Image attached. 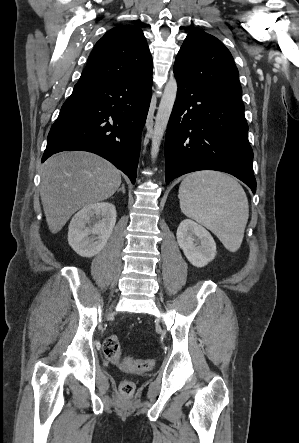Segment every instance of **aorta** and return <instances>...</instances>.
I'll return each instance as SVG.
<instances>
[{
  "label": "aorta",
  "mask_w": 299,
  "mask_h": 443,
  "mask_svg": "<svg viewBox=\"0 0 299 443\" xmlns=\"http://www.w3.org/2000/svg\"><path fill=\"white\" fill-rule=\"evenodd\" d=\"M177 81L171 77L166 83L164 92L155 117L154 130L152 135L151 156L154 160L159 152V147L168 121L176 100L177 95Z\"/></svg>",
  "instance_id": "1"
}]
</instances>
